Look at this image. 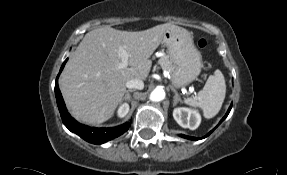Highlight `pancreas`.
Listing matches in <instances>:
<instances>
[{"label":"pancreas","instance_id":"pancreas-1","mask_svg":"<svg viewBox=\"0 0 287 175\" xmlns=\"http://www.w3.org/2000/svg\"><path fill=\"white\" fill-rule=\"evenodd\" d=\"M158 63L164 70H167L169 72H172L175 68L174 64L172 63V61L169 59L167 55L162 56L158 60Z\"/></svg>","mask_w":287,"mask_h":175}]
</instances>
